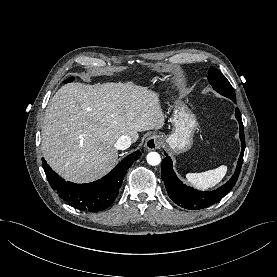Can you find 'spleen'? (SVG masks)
<instances>
[{"label":"spleen","instance_id":"spleen-1","mask_svg":"<svg viewBox=\"0 0 277 277\" xmlns=\"http://www.w3.org/2000/svg\"><path fill=\"white\" fill-rule=\"evenodd\" d=\"M226 172L227 166L221 165L216 169L202 173H188L186 174V179L195 187L206 190L216 186L224 178Z\"/></svg>","mask_w":277,"mask_h":277}]
</instances>
